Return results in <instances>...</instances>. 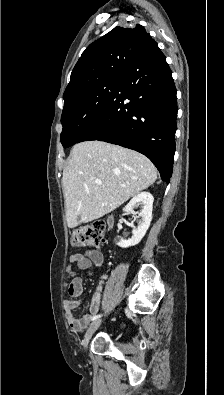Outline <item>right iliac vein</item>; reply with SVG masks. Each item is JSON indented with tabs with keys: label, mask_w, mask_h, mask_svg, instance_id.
<instances>
[{
	"label": "right iliac vein",
	"mask_w": 224,
	"mask_h": 395,
	"mask_svg": "<svg viewBox=\"0 0 224 395\" xmlns=\"http://www.w3.org/2000/svg\"><path fill=\"white\" fill-rule=\"evenodd\" d=\"M101 322H102L101 320H96V321H94V322H92L90 324V326L87 329V332H86V334L84 336V339H83V346H84V348H87L88 343H89L92 335L99 328V326L101 325Z\"/></svg>",
	"instance_id": "63e3f726"
}]
</instances>
